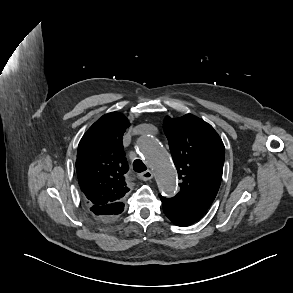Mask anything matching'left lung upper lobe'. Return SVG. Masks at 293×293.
<instances>
[{
  "label": "left lung upper lobe",
  "instance_id": "left-lung-upper-lobe-1",
  "mask_svg": "<svg viewBox=\"0 0 293 293\" xmlns=\"http://www.w3.org/2000/svg\"><path fill=\"white\" fill-rule=\"evenodd\" d=\"M164 131L181 180V190L173 198L205 213L221 183L224 144L211 125L191 114L166 117Z\"/></svg>",
  "mask_w": 293,
  "mask_h": 293
}]
</instances>
